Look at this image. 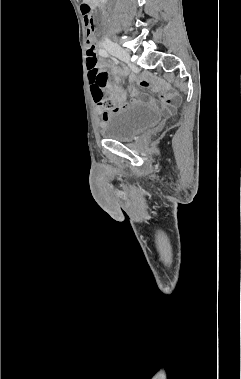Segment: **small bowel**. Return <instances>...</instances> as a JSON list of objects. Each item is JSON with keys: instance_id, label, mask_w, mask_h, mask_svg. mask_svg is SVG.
<instances>
[{"instance_id": "c3829d8e", "label": "small bowel", "mask_w": 241, "mask_h": 379, "mask_svg": "<svg viewBox=\"0 0 241 379\" xmlns=\"http://www.w3.org/2000/svg\"><path fill=\"white\" fill-rule=\"evenodd\" d=\"M106 75H107V73H106ZM114 81L116 84L120 83V78L117 74H115V76H114ZM138 84L142 88H151L154 92L159 93L162 97V102H163L164 107H166L168 109H174L178 105L179 101L176 98V96L174 94H172L169 91L168 87L166 85L162 84L161 82L141 78L138 80ZM105 87L108 88L109 97L118 103L120 109H124L127 106L125 103V91L123 89H120V88L114 89L113 87H111L109 85L108 75H107V81H106ZM91 91L93 94V89H91ZM134 93H136V91H134ZM95 102L98 105L97 109H98L99 114L102 116V119L106 120L108 117V113L103 110V107L98 103V101L96 99H95Z\"/></svg>"}]
</instances>
